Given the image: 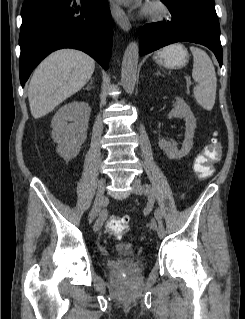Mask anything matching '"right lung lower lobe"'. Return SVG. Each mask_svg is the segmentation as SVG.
Wrapping results in <instances>:
<instances>
[{"mask_svg": "<svg viewBox=\"0 0 245 319\" xmlns=\"http://www.w3.org/2000/svg\"><path fill=\"white\" fill-rule=\"evenodd\" d=\"M21 16L22 87L39 62L61 48L84 51L108 68L112 23L107 0H25Z\"/></svg>", "mask_w": 245, "mask_h": 319, "instance_id": "right-lung-lower-lobe-1", "label": "right lung lower lobe"}]
</instances>
